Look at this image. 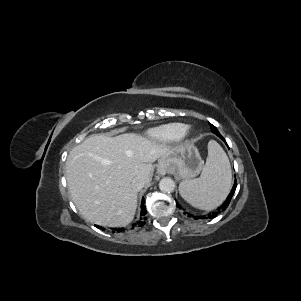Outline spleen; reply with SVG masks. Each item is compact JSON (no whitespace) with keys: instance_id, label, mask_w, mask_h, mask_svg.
I'll use <instances>...</instances> for the list:
<instances>
[{"instance_id":"spleen-1","label":"spleen","mask_w":301,"mask_h":301,"mask_svg":"<svg viewBox=\"0 0 301 301\" xmlns=\"http://www.w3.org/2000/svg\"><path fill=\"white\" fill-rule=\"evenodd\" d=\"M231 169L228 157L214 140L208 143V157L199 178L183 180L179 185L181 197L201 210H213L227 197L231 189Z\"/></svg>"}]
</instances>
